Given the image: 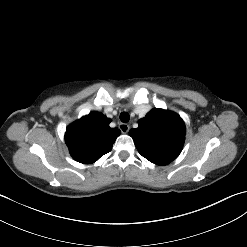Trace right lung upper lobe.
Returning a JSON list of instances; mask_svg holds the SVG:
<instances>
[{
    "label": "right lung upper lobe",
    "mask_w": 247,
    "mask_h": 247,
    "mask_svg": "<svg viewBox=\"0 0 247 247\" xmlns=\"http://www.w3.org/2000/svg\"><path fill=\"white\" fill-rule=\"evenodd\" d=\"M110 121L101 113L91 112L68 126L65 142L74 160L90 164L111 151L121 131L110 128Z\"/></svg>",
    "instance_id": "1"
}]
</instances>
